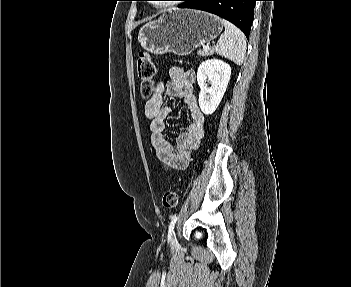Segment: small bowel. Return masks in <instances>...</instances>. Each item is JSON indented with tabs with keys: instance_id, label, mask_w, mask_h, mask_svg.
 I'll return each mask as SVG.
<instances>
[{
	"instance_id": "small-bowel-1",
	"label": "small bowel",
	"mask_w": 351,
	"mask_h": 287,
	"mask_svg": "<svg viewBox=\"0 0 351 287\" xmlns=\"http://www.w3.org/2000/svg\"><path fill=\"white\" fill-rule=\"evenodd\" d=\"M195 74L181 67L169 69V80L159 82L154 95L145 104V116L150 121L151 142L160 162L167 168L185 169L204 133L205 116L194 93ZM164 95L181 98L191 116V122L171 143L165 136L170 108Z\"/></svg>"
}]
</instances>
